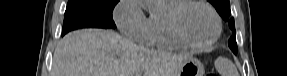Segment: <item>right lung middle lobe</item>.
Returning a JSON list of instances; mask_svg holds the SVG:
<instances>
[{"label":"right lung middle lobe","mask_w":287,"mask_h":76,"mask_svg":"<svg viewBox=\"0 0 287 76\" xmlns=\"http://www.w3.org/2000/svg\"><path fill=\"white\" fill-rule=\"evenodd\" d=\"M119 0H69L62 35L80 28L115 29L112 11Z\"/></svg>","instance_id":"obj_1"}]
</instances>
